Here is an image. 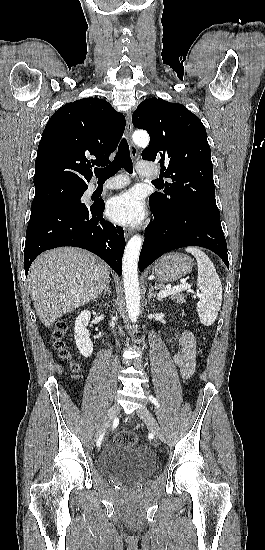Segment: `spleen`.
Listing matches in <instances>:
<instances>
[{
    "instance_id": "spleen-1",
    "label": "spleen",
    "mask_w": 265,
    "mask_h": 550,
    "mask_svg": "<svg viewBox=\"0 0 265 550\" xmlns=\"http://www.w3.org/2000/svg\"><path fill=\"white\" fill-rule=\"evenodd\" d=\"M187 252L194 255L198 265L197 286L202 293V300L197 303V311L203 325L214 323L222 302V284L210 258L197 247H187Z\"/></svg>"
}]
</instances>
